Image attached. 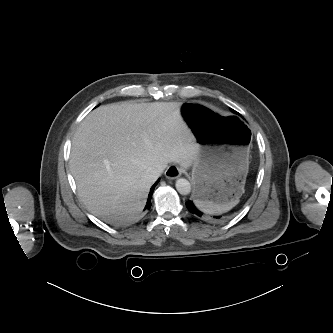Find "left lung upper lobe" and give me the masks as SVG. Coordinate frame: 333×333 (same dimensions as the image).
Listing matches in <instances>:
<instances>
[{
    "instance_id": "5c2ea615",
    "label": "left lung upper lobe",
    "mask_w": 333,
    "mask_h": 333,
    "mask_svg": "<svg viewBox=\"0 0 333 333\" xmlns=\"http://www.w3.org/2000/svg\"><path fill=\"white\" fill-rule=\"evenodd\" d=\"M234 113H237L236 111L232 110Z\"/></svg>"
}]
</instances>
